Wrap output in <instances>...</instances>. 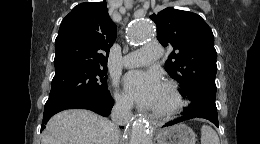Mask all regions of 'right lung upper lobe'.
<instances>
[{
	"label": "right lung upper lobe",
	"instance_id": "cb5924a9",
	"mask_svg": "<svg viewBox=\"0 0 260 144\" xmlns=\"http://www.w3.org/2000/svg\"><path fill=\"white\" fill-rule=\"evenodd\" d=\"M116 35L117 27L105 1L75 6L62 20L55 40V68L70 64L107 66Z\"/></svg>",
	"mask_w": 260,
	"mask_h": 144
}]
</instances>
